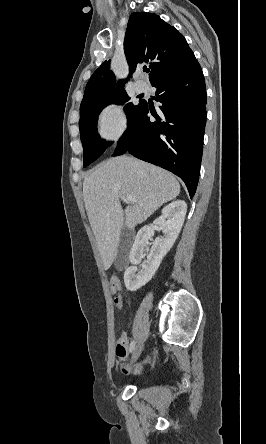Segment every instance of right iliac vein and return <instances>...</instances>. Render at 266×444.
I'll return each instance as SVG.
<instances>
[{
	"label": "right iliac vein",
	"mask_w": 266,
	"mask_h": 444,
	"mask_svg": "<svg viewBox=\"0 0 266 444\" xmlns=\"http://www.w3.org/2000/svg\"><path fill=\"white\" fill-rule=\"evenodd\" d=\"M143 347H144V345H143L142 342H139L136 345V347L134 348L133 354H132V361H131V363H134V362L137 361V359L139 358V356L142 353Z\"/></svg>",
	"instance_id": "right-iliac-vein-1"
}]
</instances>
